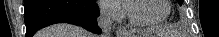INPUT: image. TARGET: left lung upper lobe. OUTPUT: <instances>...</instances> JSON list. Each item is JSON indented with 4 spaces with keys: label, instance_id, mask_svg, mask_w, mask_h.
Wrapping results in <instances>:
<instances>
[{
    "label": "left lung upper lobe",
    "instance_id": "1",
    "mask_svg": "<svg viewBox=\"0 0 219 37\" xmlns=\"http://www.w3.org/2000/svg\"><path fill=\"white\" fill-rule=\"evenodd\" d=\"M178 2H179L180 4H182L183 0H178Z\"/></svg>",
    "mask_w": 219,
    "mask_h": 37
}]
</instances>
